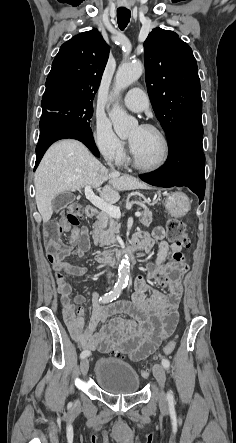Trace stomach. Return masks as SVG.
Listing matches in <instances>:
<instances>
[{"label": "stomach", "mask_w": 236, "mask_h": 443, "mask_svg": "<svg viewBox=\"0 0 236 443\" xmlns=\"http://www.w3.org/2000/svg\"><path fill=\"white\" fill-rule=\"evenodd\" d=\"M165 208L171 216L181 217L190 208L188 197L182 192H172L165 200Z\"/></svg>", "instance_id": "1"}]
</instances>
